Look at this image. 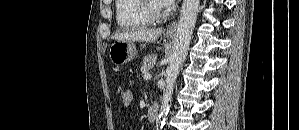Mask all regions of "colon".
<instances>
[{"label": "colon", "mask_w": 299, "mask_h": 130, "mask_svg": "<svg viewBox=\"0 0 299 130\" xmlns=\"http://www.w3.org/2000/svg\"><path fill=\"white\" fill-rule=\"evenodd\" d=\"M134 99V93L130 88H126L121 93V102L124 106H129Z\"/></svg>", "instance_id": "colon-1"}]
</instances>
